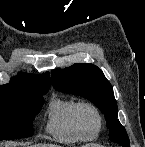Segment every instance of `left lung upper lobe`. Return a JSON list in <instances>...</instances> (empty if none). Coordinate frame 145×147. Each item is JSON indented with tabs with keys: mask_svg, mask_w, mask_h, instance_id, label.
Returning a JSON list of instances; mask_svg holds the SVG:
<instances>
[{
	"mask_svg": "<svg viewBox=\"0 0 145 147\" xmlns=\"http://www.w3.org/2000/svg\"><path fill=\"white\" fill-rule=\"evenodd\" d=\"M53 87L61 92L72 93L92 101L105 115L109 137L122 147H129L125 128L117 119V102L113 88L103 72L92 64H74L51 72Z\"/></svg>",
	"mask_w": 145,
	"mask_h": 147,
	"instance_id": "obj_1",
	"label": "left lung upper lobe"
}]
</instances>
